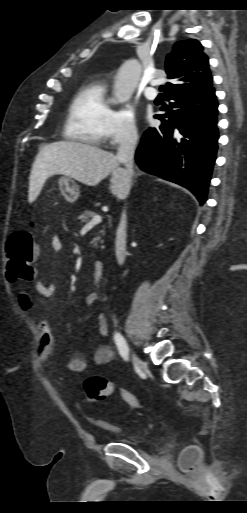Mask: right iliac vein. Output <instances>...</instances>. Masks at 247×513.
<instances>
[{
    "instance_id": "right-iliac-vein-1",
    "label": "right iliac vein",
    "mask_w": 247,
    "mask_h": 513,
    "mask_svg": "<svg viewBox=\"0 0 247 513\" xmlns=\"http://www.w3.org/2000/svg\"><path fill=\"white\" fill-rule=\"evenodd\" d=\"M133 362L135 364V366L139 369V370H143L144 368V362L136 355L133 353Z\"/></svg>"
}]
</instances>
